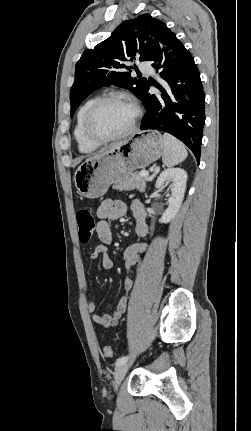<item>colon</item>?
I'll return each mask as SVG.
<instances>
[{"mask_svg": "<svg viewBox=\"0 0 251 431\" xmlns=\"http://www.w3.org/2000/svg\"><path fill=\"white\" fill-rule=\"evenodd\" d=\"M76 220L80 241L82 243L89 242L96 229V222L92 211L87 207L80 208L76 213ZM104 356L106 358L113 357V350L110 346L104 348Z\"/></svg>", "mask_w": 251, "mask_h": 431, "instance_id": "5ec220e1", "label": "colon"}]
</instances>
